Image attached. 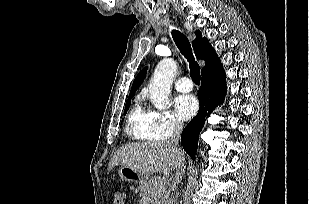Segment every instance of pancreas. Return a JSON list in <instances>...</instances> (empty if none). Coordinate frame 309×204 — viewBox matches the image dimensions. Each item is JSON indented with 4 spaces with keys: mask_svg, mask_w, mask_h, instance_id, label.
Returning <instances> with one entry per match:
<instances>
[{
    "mask_svg": "<svg viewBox=\"0 0 309 204\" xmlns=\"http://www.w3.org/2000/svg\"><path fill=\"white\" fill-rule=\"evenodd\" d=\"M166 182L160 177H150L140 186L141 204H157L164 194Z\"/></svg>",
    "mask_w": 309,
    "mask_h": 204,
    "instance_id": "pancreas-1",
    "label": "pancreas"
}]
</instances>
